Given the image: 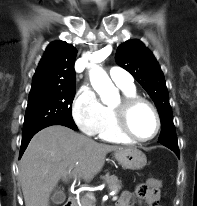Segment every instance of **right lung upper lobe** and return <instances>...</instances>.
<instances>
[{
	"label": "right lung upper lobe",
	"mask_w": 197,
	"mask_h": 206,
	"mask_svg": "<svg viewBox=\"0 0 197 206\" xmlns=\"http://www.w3.org/2000/svg\"><path fill=\"white\" fill-rule=\"evenodd\" d=\"M76 52L66 42L50 43L33 76L31 90L75 87Z\"/></svg>",
	"instance_id": "right-lung-upper-lobe-1"
}]
</instances>
